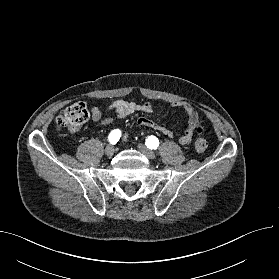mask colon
<instances>
[{
  "label": "colon",
  "instance_id": "obj_1",
  "mask_svg": "<svg viewBox=\"0 0 279 279\" xmlns=\"http://www.w3.org/2000/svg\"><path fill=\"white\" fill-rule=\"evenodd\" d=\"M89 111L84 103H75L65 108L56 119L58 130L68 129L77 131L88 119ZM198 136L195 141V148L199 152L206 150L208 146L205 137V131L202 126H198L196 130Z\"/></svg>",
  "mask_w": 279,
  "mask_h": 279
}]
</instances>
